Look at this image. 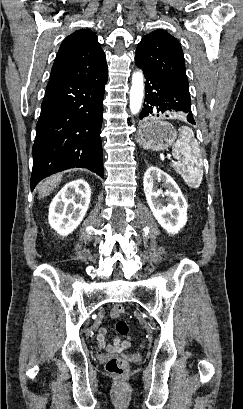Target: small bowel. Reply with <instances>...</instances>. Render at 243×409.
Here are the masks:
<instances>
[{
  "label": "small bowel",
  "mask_w": 243,
  "mask_h": 409,
  "mask_svg": "<svg viewBox=\"0 0 243 409\" xmlns=\"http://www.w3.org/2000/svg\"><path fill=\"white\" fill-rule=\"evenodd\" d=\"M107 331H108V328L104 326L101 327L98 331L97 341H98L100 348L105 349L108 353H117L129 347L130 345L129 338H125V339L116 338L112 344H107L106 342Z\"/></svg>",
  "instance_id": "small-bowel-1"
}]
</instances>
